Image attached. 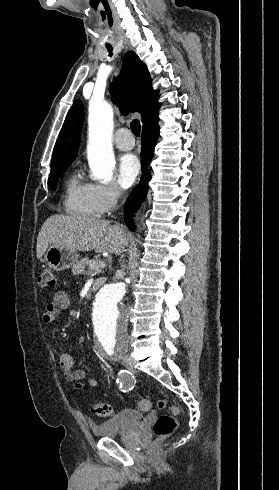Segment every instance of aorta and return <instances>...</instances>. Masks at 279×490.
I'll return each instance as SVG.
<instances>
[{
	"label": "aorta",
	"mask_w": 279,
	"mask_h": 490,
	"mask_svg": "<svg viewBox=\"0 0 279 490\" xmlns=\"http://www.w3.org/2000/svg\"><path fill=\"white\" fill-rule=\"evenodd\" d=\"M113 110L106 102L92 103L88 116V161L95 179L109 182L115 167L111 136ZM126 286L122 282L106 284L95 295L92 328L98 346L107 349L127 341V312L122 304Z\"/></svg>",
	"instance_id": "obj_1"
}]
</instances>
